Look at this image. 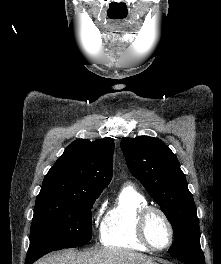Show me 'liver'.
<instances>
[{
	"label": "liver",
	"mask_w": 221,
	"mask_h": 264,
	"mask_svg": "<svg viewBox=\"0 0 221 264\" xmlns=\"http://www.w3.org/2000/svg\"><path fill=\"white\" fill-rule=\"evenodd\" d=\"M152 260L143 254L125 249L104 248L79 252L68 249L42 258L35 264H149Z\"/></svg>",
	"instance_id": "6515ba94"
}]
</instances>
